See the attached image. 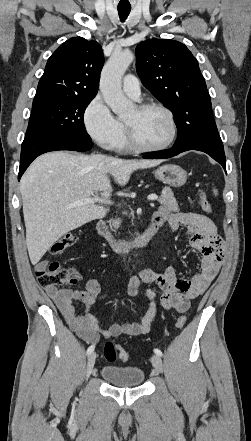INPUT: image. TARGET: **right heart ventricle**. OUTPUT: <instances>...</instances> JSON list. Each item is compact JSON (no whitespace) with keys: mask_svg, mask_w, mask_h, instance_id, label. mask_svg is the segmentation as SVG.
Listing matches in <instances>:
<instances>
[{"mask_svg":"<svg viewBox=\"0 0 251 441\" xmlns=\"http://www.w3.org/2000/svg\"><path fill=\"white\" fill-rule=\"evenodd\" d=\"M114 148L117 150H129L131 148V146L127 140V137H126L125 129H124V132H123L121 138L119 139L118 143L116 144V146Z\"/></svg>","mask_w":251,"mask_h":441,"instance_id":"e07e8e85","label":"right heart ventricle"}]
</instances>
